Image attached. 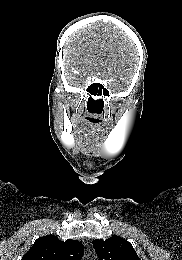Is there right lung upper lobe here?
Listing matches in <instances>:
<instances>
[{"label":"right lung upper lobe","instance_id":"right-lung-upper-lobe-1","mask_svg":"<svg viewBox=\"0 0 182 260\" xmlns=\"http://www.w3.org/2000/svg\"><path fill=\"white\" fill-rule=\"evenodd\" d=\"M83 245L76 240L60 241L54 235L38 238L22 260H81Z\"/></svg>","mask_w":182,"mask_h":260}]
</instances>
